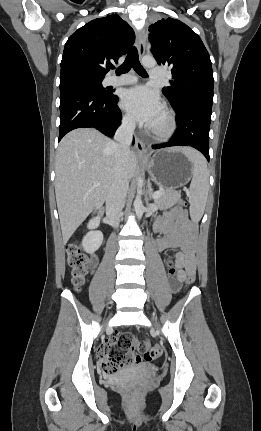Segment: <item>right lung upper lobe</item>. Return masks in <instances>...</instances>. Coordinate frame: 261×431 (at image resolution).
Returning <instances> with one entry per match:
<instances>
[{"instance_id":"obj_1","label":"right lung upper lobe","mask_w":261,"mask_h":431,"mask_svg":"<svg viewBox=\"0 0 261 431\" xmlns=\"http://www.w3.org/2000/svg\"><path fill=\"white\" fill-rule=\"evenodd\" d=\"M135 33L116 14L90 21L67 40L61 61V74L82 70L104 77L111 61L127 53Z\"/></svg>"}]
</instances>
